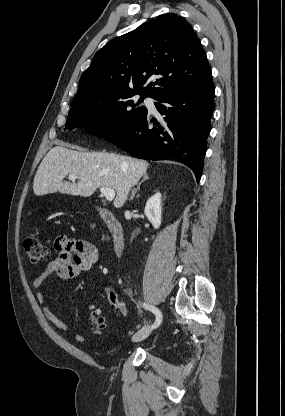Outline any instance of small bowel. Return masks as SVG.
Masks as SVG:
<instances>
[{"instance_id": "c3829d8e", "label": "small bowel", "mask_w": 285, "mask_h": 416, "mask_svg": "<svg viewBox=\"0 0 285 416\" xmlns=\"http://www.w3.org/2000/svg\"><path fill=\"white\" fill-rule=\"evenodd\" d=\"M57 257L48 263L45 270L34 280L33 285L41 288L50 277H57L60 280L68 281L78 277L83 272L89 271L98 261V248L86 240L60 236L55 241ZM45 318L61 331H68L69 328L46 304L45 295L39 291L36 295ZM102 330H92L91 334L99 335ZM86 334H75L74 339L82 342Z\"/></svg>"}]
</instances>
